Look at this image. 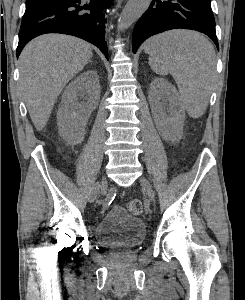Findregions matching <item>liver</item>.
I'll list each match as a JSON object with an SVG mask.
<instances>
[{"instance_id": "6515ba94", "label": "liver", "mask_w": 245, "mask_h": 300, "mask_svg": "<svg viewBox=\"0 0 245 300\" xmlns=\"http://www.w3.org/2000/svg\"><path fill=\"white\" fill-rule=\"evenodd\" d=\"M91 57L90 44L61 34L41 35L23 49L19 57L20 90L38 131L47 124L63 88Z\"/></svg>"}]
</instances>
